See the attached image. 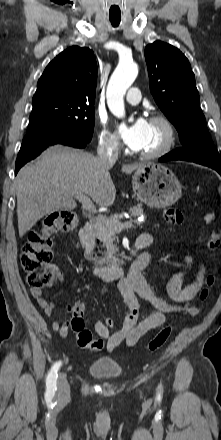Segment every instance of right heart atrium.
I'll return each mask as SVG.
<instances>
[{"label": "right heart atrium", "mask_w": 221, "mask_h": 440, "mask_svg": "<svg viewBox=\"0 0 221 440\" xmlns=\"http://www.w3.org/2000/svg\"><path fill=\"white\" fill-rule=\"evenodd\" d=\"M98 139L100 148L107 153H116L119 151L121 144L118 135L112 131L107 121L100 118L98 121Z\"/></svg>", "instance_id": "right-heart-atrium-1"}]
</instances>
